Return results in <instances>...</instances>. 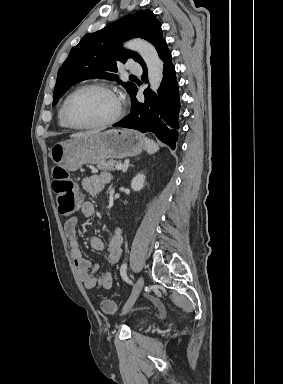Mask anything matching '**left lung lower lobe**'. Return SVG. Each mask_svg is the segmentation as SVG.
<instances>
[{
    "label": "left lung lower lobe",
    "mask_w": 283,
    "mask_h": 384,
    "mask_svg": "<svg viewBox=\"0 0 283 384\" xmlns=\"http://www.w3.org/2000/svg\"><path fill=\"white\" fill-rule=\"evenodd\" d=\"M159 57L164 62L163 80L158 94H151L149 88L144 91L145 101L136 99V90L131 95V114L114 124L115 127L136 129L140 132H152L161 141L175 149L178 140V116L180 111V94L171 53L166 42L161 46ZM142 79L147 82V67L143 66Z\"/></svg>",
    "instance_id": "0a47b994"
}]
</instances>
